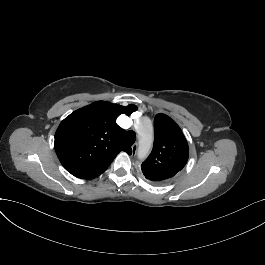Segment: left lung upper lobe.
Listing matches in <instances>:
<instances>
[{"label":"left lung upper lobe","mask_w":265,"mask_h":265,"mask_svg":"<svg viewBox=\"0 0 265 265\" xmlns=\"http://www.w3.org/2000/svg\"><path fill=\"white\" fill-rule=\"evenodd\" d=\"M154 131L153 150L141 167L148 180L163 184L186 165L189 148L180 127L165 114L155 116Z\"/></svg>","instance_id":"left-lung-upper-lobe-1"}]
</instances>
